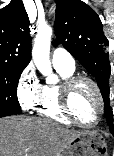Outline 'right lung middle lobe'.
Here are the masks:
<instances>
[{
    "label": "right lung middle lobe",
    "instance_id": "dd1d6c3e",
    "mask_svg": "<svg viewBox=\"0 0 114 156\" xmlns=\"http://www.w3.org/2000/svg\"><path fill=\"white\" fill-rule=\"evenodd\" d=\"M24 68L0 64V117L20 114L17 85Z\"/></svg>",
    "mask_w": 114,
    "mask_h": 156
}]
</instances>
